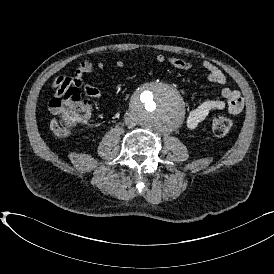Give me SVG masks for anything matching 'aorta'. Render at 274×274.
<instances>
[{"mask_svg":"<svg viewBox=\"0 0 274 274\" xmlns=\"http://www.w3.org/2000/svg\"><path fill=\"white\" fill-rule=\"evenodd\" d=\"M138 124L160 132L173 130L185 113L183 99L176 88L155 81L145 85L131 101Z\"/></svg>","mask_w":274,"mask_h":274,"instance_id":"aorta-1","label":"aorta"}]
</instances>
